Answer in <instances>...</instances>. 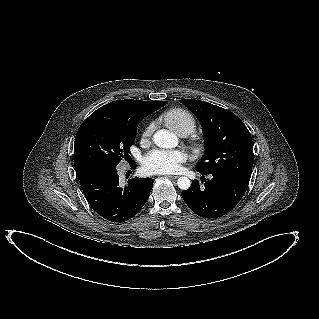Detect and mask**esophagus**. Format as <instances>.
<instances>
[{
  "label": "esophagus",
  "instance_id": "esophagus-1",
  "mask_svg": "<svg viewBox=\"0 0 319 319\" xmlns=\"http://www.w3.org/2000/svg\"><path fill=\"white\" fill-rule=\"evenodd\" d=\"M168 177L171 179H177L179 176L178 175H168Z\"/></svg>",
  "mask_w": 319,
  "mask_h": 319
}]
</instances>
